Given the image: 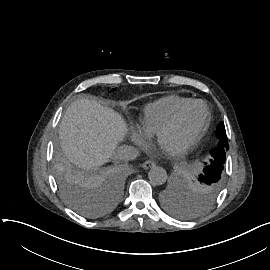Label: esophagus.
Instances as JSON below:
<instances>
[{"instance_id":"34e87169","label":"esophagus","mask_w":270,"mask_h":270,"mask_svg":"<svg viewBox=\"0 0 270 270\" xmlns=\"http://www.w3.org/2000/svg\"><path fill=\"white\" fill-rule=\"evenodd\" d=\"M156 165V163L153 160H147L145 162L142 163V168L144 169H150L152 167H154Z\"/></svg>"}]
</instances>
